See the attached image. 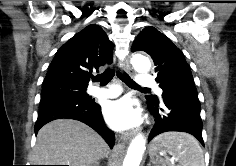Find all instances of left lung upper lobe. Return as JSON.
<instances>
[{
	"instance_id": "left-lung-upper-lobe-1",
	"label": "left lung upper lobe",
	"mask_w": 236,
	"mask_h": 166,
	"mask_svg": "<svg viewBox=\"0 0 236 166\" xmlns=\"http://www.w3.org/2000/svg\"><path fill=\"white\" fill-rule=\"evenodd\" d=\"M131 51H145L152 56L156 66V81L160 84L163 92L173 87L196 88L190 67L183 53L156 28L146 27L137 36ZM146 99L148 102L159 103L157 96H146Z\"/></svg>"
}]
</instances>
